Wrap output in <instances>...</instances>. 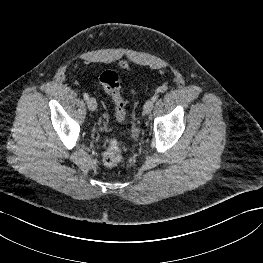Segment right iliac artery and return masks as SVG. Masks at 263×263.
I'll use <instances>...</instances> for the list:
<instances>
[{"instance_id":"right-iliac-artery-1","label":"right iliac artery","mask_w":263,"mask_h":263,"mask_svg":"<svg viewBox=\"0 0 263 263\" xmlns=\"http://www.w3.org/2000/svg\"><path fill=\"white\" fill-rule=\"evenodd\" d=\"M83 97H84L85 100H88V99H89V95H88L87 93H84V94H83Z\"/></svg>"}]
</instances>
